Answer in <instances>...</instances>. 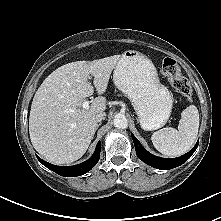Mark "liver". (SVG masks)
<instances>
[{"label":"liver","instance_id":"liver-1","mask_svg":"<svg viewBox=\"0 0 221 221\" xmlns=\"http://www.w3.org/2000/svg\"><path fill=\"white\" fill-rule=\"evenodd\" d=\"M120 55L93 61H76L53 71L36 91L29 116L33 147L47 161L69 164L87 151L97 128L95 116L106 110V99L98 96L88 109L82 102L108 86ZM93 76V85L88 80ZM74 112L68 113L67 110Z\"/></svg>","mask_w":221,"mask_h":221}]
</instances>
